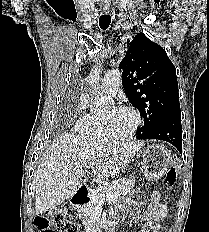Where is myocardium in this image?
Wrapping results in <instances>:
<instances>
[{
    "label": "myocardium",
    "instance_id": "f54148a6",
    "mask_svg": "<svg viewBox=\"0 0 209 232\" xmlns=\"http://www.w3.org/2000/svg\"><path fill=\"white\" fill-rule=\"evenodd\" d=\"M114 108L117 109V110H125V111L130 112L134 117V125H133L132 129L127 134L115 135V134L111 133V131H110L107 118L105 116H102L103 133H104V135H105V137L107 139H111V140H128L137 132L138 128L142 124L141 114L135 108H133L131 106H127V105L116 106Z\"/></svg>",
    "mask_w": 209,
    "mask_h": 232
}]
</instances>
